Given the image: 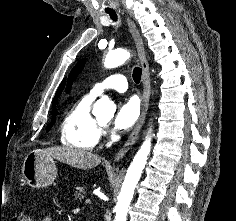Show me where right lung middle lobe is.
Segmentation results:
<instances>
[{"mask_svg":"<svg viewBox=\"0 0 236 221\" xmlns=\"http://www.w3.org/2000/svg\"><path fill=\"white\" fill-rule=\"evenodd\" d=\"M56 114H57L56 109H53V117H55ZM55 120H56L55 118L52 120V122L49 124V126L47 127V129H50V128L53 126Z\"/></svg>","mask_w":236,"mask_h":221,"instance_id":"1","label":"right lung middle lobe"}]
</instances>
